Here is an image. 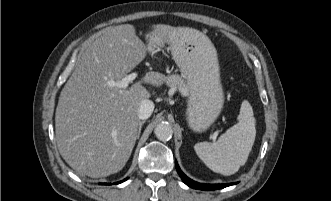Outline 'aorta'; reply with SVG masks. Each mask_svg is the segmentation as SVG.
Masks as SVG:
<instances>
[{"mask_svg": "<svg viewBox=\"0 0 331 201\" xmlns=\"http://www.w3.org/2000/svg\"><path fill=\"white\" fill-rule=\"evenodd\" d=\"M155 135L161 141H168L173 135L172 127L167 122H162L158 124L155 128Z\"/></svg>", "mask_w": 331, "mask_h": 201, "instance_id": "1", "label": "aorta"}]
</instances>
